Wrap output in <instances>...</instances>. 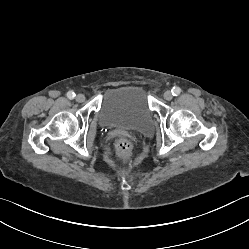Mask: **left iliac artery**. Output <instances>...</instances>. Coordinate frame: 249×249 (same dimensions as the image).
I'll list each match as a JSON object with an SVG mask.
<instances>
[{"label": "left iliac artery", "mask_w": 249, "mask_h": 249, "mask_svg": "<svg viewBox=\"0 0 249 249\" xmlns=\"http://www.w3.org/2000/svg\"><path fill=\"white\" fill-rule=\"evenodd\" d=\"M181 93V89L179 87H173L172 89V95L178 96Z\"/></svg>", "instance_id": "obj_1"}]
</instances>
